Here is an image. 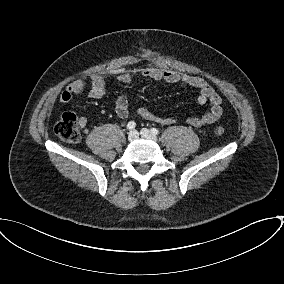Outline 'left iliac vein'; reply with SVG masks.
<instances>
[{"mask_svg": "<svg viewBox=\"0 0 284 284\" xmlns=\"http://www.w3.org/2000/svg\"><path fill=\"white\" fill-rule=\"evenodd\" d=\"M140 134H141V136L143 138L150 139V140H152L154 142L157 140L156 136L154 134H152V132L149 129H147V128H143L140 131Z\"/></svg>", "mask_w": 284, "mask_h": 284, "instance_id": "obj_1", "label": "left iliac vein"}]
</instances>
